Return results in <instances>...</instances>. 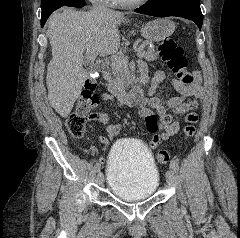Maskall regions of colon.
<instances>
[{
    "mask_svg": "<svg viewBox=\"0 0 240 238\" xmlns=\"http://www.w3.org/2000/svg\"><path fill=\"white\" fill-rule=\"evenodd\" d=\"M158 52L162 59L167 63L168 68L177 76V79L186 86L192 85L196 80L195 73L187 70V59L183 49L171 39H165L158 47ZM97 84L88 81L81 92L76 110L69 115L66 120L68 132L75 138H82L86 133L88 113L98 102L96 94ZM193 123H187L183 129V135L189 139L195 134ZM170 154L166 150H160L157 154L159 164H167Z\"/></svg>",
    "mask_w": 240,
    "mask_h": 238,
    "instance_id": "5ec220e1",
    "label": "colon"
}]
</instances>
